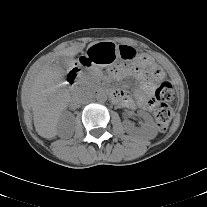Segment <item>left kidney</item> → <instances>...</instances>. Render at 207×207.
Masks as SVG:
<instances>
[{"label":"left kidney","mask_w":207,"mask_h":207,"mask_svg":"<svg viewBox=\"0 0 207 207\" xmlns=\"http://www.w3.org/2000/svg\"><path fill=\"white\" fill-rule=\"evenodd\" d=\"M138 114L145 121L144 126L141 127L139 132L142 134V136L145 139H153V138H155L157 136L158 130H157V125L155 124L152 116L149 113L144 112V111H139ZM125 129L131 135H134V134H136L138 132L136 130V128L132 124H130V123H126L125 124Z\"/></svg>","instance_id":"obj_1"}]
</instances>
